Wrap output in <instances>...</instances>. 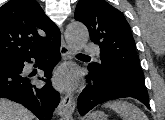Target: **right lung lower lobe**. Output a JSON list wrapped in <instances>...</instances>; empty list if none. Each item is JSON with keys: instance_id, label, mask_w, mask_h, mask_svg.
<instances>
[{"instance_id": "1", "label": "right lung lower lobe", "mask_w": 165, "mask_h": 120, "mask_svg": "<svg viewBox=\"0 0 165 120\" xmlns=\"http://www.w3.org/2000/svg\"><path fill=\"white\" fill-rule=\"evenodd\" d=\"M36 64L45 73L46 85L36 87L30 76L23 73L24 62ZM60 60V38L51 41L43 48L0 64V98H8L32 111L39 120H50L60 102V95L51 85L50 78L54 66ZM41 79V78H39Z\"/></svg>"}]
</instances>
